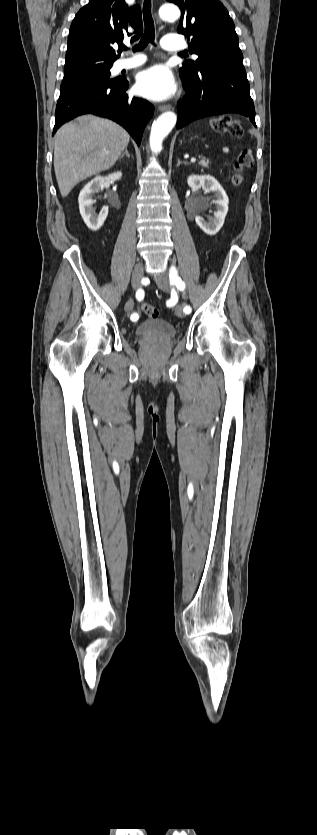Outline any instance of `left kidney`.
<instances>
[{
  "label": "left kidney",
  "mask_w": 317,
  "mask_h": 835,
  "mask_svg": "<svg viewBox=\"0 0 317 835\" xmlns=\"http://www.w3.org/2000/svg\"><path fill=\"white\" fill-rule=\"evenodd\" d=\"M187 183L192 189L203 188L208 192L214 193L213 197L216 199L212 202L216 205L214 217L210 218L209 221H205L202 217L197 215L195 217V221L206 234L215 235L223 226L228 212L229 199L225 190L219 182L210 175H191L188 177ZM205 207L206 206L204 205L203 208Z\"/></svg>",
  "instance_id": "left-kidney-1"
}]
</instances>
